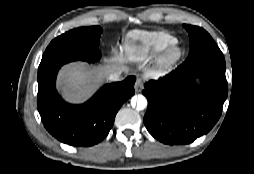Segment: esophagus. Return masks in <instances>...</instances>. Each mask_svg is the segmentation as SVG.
Returning a JSON list of instances; mask_svg holds the SVG:
<instances>
[{"mask_svg":"<svg viewBox=\"0 0 254 174\" xmlns=\"http://www.w3.org/2000/svg\"><path fill=\"white\" fill-rule=\"evenodd\" d=\"M143 83L144 81L141 78H138L135 82L134 89L136 92H141L143 89Z\"/></svg>","mask_w":254,"mask_h":174,"instance_id":"34e87169","label":"esophagus"}]
</instances>
